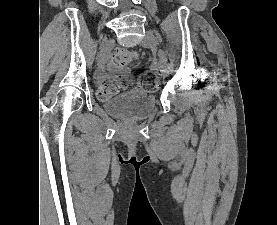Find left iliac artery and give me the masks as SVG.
<instances>
[{
	"mask_svg": "<svg viewBox=\"0 0 277 225\" xmlns=\"http://www.w3.org/2000/svg\"><path fill=\"white\" fill-rule=\"evenodd\" d=\"M160 55L164 58L165 61H167V53L165 50H161Z\"/></svg>",
	"mask_w": 277,
	"mask_h": 225,
	"instance_id": "1",
	"label": "left iliac artery"
}]
</instances>
